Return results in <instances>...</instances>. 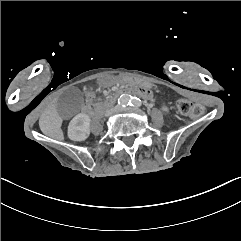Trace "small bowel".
<instances>
[{
    "label": "small bowel",
    "instance_id": "c3829d8e",
    "mask_svg": "<svg viewBox=\"0 0 241 241\" xmlns=\"http://www.w3.org/2000/svg\"><path fill=\"white\" fill-rule=\"evenodd\" d=\"M102 84L108 85L110 83V80L108 78H104L101 80ZM89 87V85H88ZM85 88V97H86V106H85V110L87 112H90L92 110V106H93V100L95 99V94L93 92L92 89L90 88Z\"/></svg>",
    "mask_w": 241,
    "mask_h": 241
}]
</instances>
